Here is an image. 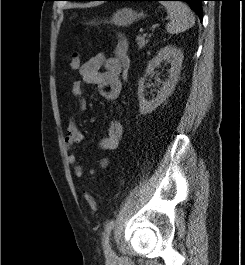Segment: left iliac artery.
<instances>
[{"mask_svg":"<svg viewBox=\"0 0 245 265\" xmlns=\"http://www.w3.org/2000/svg\"><path fill=\"white\" fill-rule=\"evenodd\" d=\"M114 225H115V222L113 220L109 221L106 226H105V231L103 233V236H104V239H103V246H104V249H105V252L108 254V253H112V250H111V247L109 245V234L111 232V230L114 228Z\"/></svg>","mask_w":245,"mask_h":265,"instance_id":"44dca946","label":"left iliac artery"}]
</instances>
